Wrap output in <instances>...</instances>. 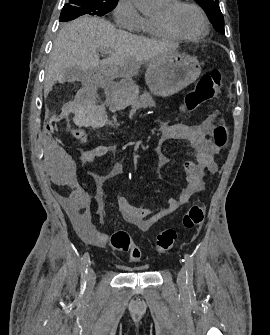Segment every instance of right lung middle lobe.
<instances>
[{
	"label": "right lung middle lobe",
	"mask_w": 270,
	"mask_h": 335,
	"mask_svg": "<svg viewBox=\"0 0 270 335\" xmlns=\"http://www.w3.org/2000/svg\"><path fill=\"white\" fill-rule=\"evenodd\" d=\"M118 0H68L61 11L60 22H67L79 16H103L110 12Z\"/></svg>",
	"instance_id": "dd1d6c3e"
}]
</instances>
